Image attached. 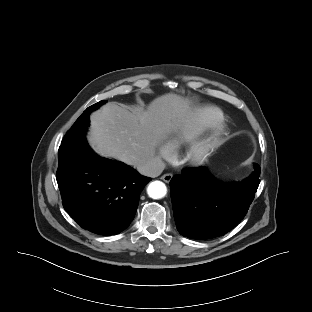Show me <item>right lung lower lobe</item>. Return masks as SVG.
Here are the masks:
<instances>
[{
  "label": "right lung lower lobe",
  "instance_id": "98d812e1",
  "mask_svg": "<svg viewBox=\"0 0 312 312\" xmlns=\"http://www.w3.org/2000/svg\"><path fill=\"white\" fill-rule=\"evenodd\" d=\"M62 204L82 228L113 235L133 220L140 193L151 180L132 167L95 154L86 140L56 175Z\"/></svg>",
  "mask_w": 312,
  "mask_h": 312
}]
</instances>
